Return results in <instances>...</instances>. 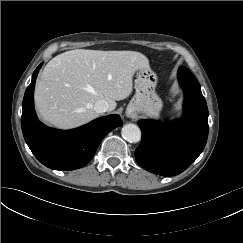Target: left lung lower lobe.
Here are the masks:
<instances>
[{"label":"left lung lower lobe","mask_w":243,"mask_h":243,"mask_svg":"<svg viewBox=\"0 0 243 243\" xmlns=\"http://www.w3.org/2000/svg\"><path fill=\"white\" fill-rule=\"evenodd\" d=\"M178 80L185 95L182 120L138 123L143 137L135 158L144 169L161 176L177 175L188 168L203 151L208 137V109L198 81L184 66L178 70Z\"/></svg>","instance_id":"obj_1"}]
</instances>
